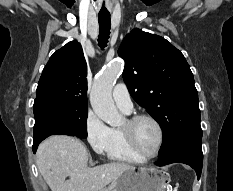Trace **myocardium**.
I'll list each match as a JSON object with an SVG mask.
<instances>
[{
  "mask_svg": "<svg viewBox=\"0 0 233 191\" xmlns=\"http://www.w3.org/2000/svg\"><path fill=\"white\" fill-rule=\"evenodd\" d=\"M141 120L151 121L155 125V127L157 128V131H158V136H159L158 145H157V149H156L155 153L152 155L144 154L140 150V148L138 147L136 140H135L134 127ZM125 123H126L125 126L122 127L121 130H122V133L126 139L128 146L131 148V150L135 154H137L138 156L143 158L144 160H151V159L156 158L159 155V153L162 149V146H163V142H164V131H163V128H162L160 122L152 115L136 114V115L128 118Z\"/></svg>",
  "mask_w": 233,
  "mask_h": 191,
  "instance_id": "1",
  "label": "myocardium"
}]
</instances>
